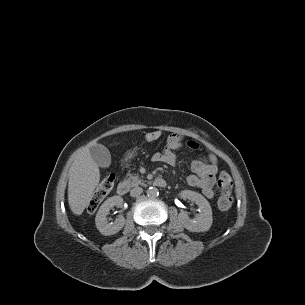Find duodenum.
Here are the masks:
<instances>
[{
    "instance_id": "obj_1",
    "label": "duodenum",
    "mask_w": 305,
    "mask_h": 305,
    "mask_svg": "<svg viewBox=\"0 0 305 305\" xmlns=\"http://www.w3.org/2000/svg\"><path fill=\"white\" fill-rule=\"evenodd\" d=\"M153 185L154 186H157V187H165L167 185V182L165 179L163 178H156L154 181H153ZM129 191V184L128 182L126 181H122L118 184L117 186V193L119 195H126Z\"/></svg>"
}]
</instances>
